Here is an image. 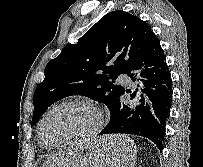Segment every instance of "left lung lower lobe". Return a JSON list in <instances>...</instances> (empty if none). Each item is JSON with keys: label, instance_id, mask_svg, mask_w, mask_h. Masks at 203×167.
Segmentation results:
<instances>
[{"label": "left lung lower lobe", "instance_id": "left-lung-lower-lobe-1", "mask_svg": "<svg viewBox=\"0 0 203 167\" xmlns=\"http://www.w3.org/2000/svg\"><path fill=\"white\" fill-rule=\"evenodd\" d=\"M133 82L143 81L145 96L130 117L128 104L122 99L113 106L110 121L99 134L126 133L146 137L162 150L166 121L172 102V79L165 55L156 39L135 62L127 74ZM139 76L144 79H139ZM131 99L135 93L125 89ZM115 150L113 145L110 147Z\"/></svg>", "mask_w": 203, "mask_h": 167}]
</instances>
